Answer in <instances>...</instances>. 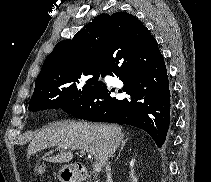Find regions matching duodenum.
Masks as SVG:
<instances>
[{"mask_svg":"<svg viewBox=\"0 0 211 182\" xmlns=\"http://www.w3.org/2000/svg\"><path fill=\"white\" fill-rule=\"evenodd\" d=\"M76 178L78 182H88L92 179V174L81 165H78V169L76 170Z\"/></svg>","mask_w":211,"mask_h":182,"instance_id":"obj_1","label":"duodenum"}]
</instances>
